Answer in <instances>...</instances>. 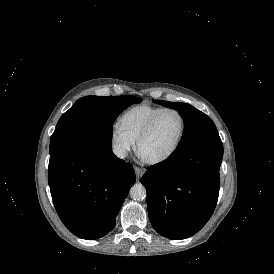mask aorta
I'll list each match as a JSON object with an SVG mask.
<instances>
[{"instance_id": "762f6f07", "label": "aorta", "mask_w": 274, "mask_h": 274, "mask_svg": "<svg viewBox=\"0 0 274 274\" xmlns=\"http://www.w3.org/2000/svg\"><path fill=\"white\" fill-rule=\"evenodd\" d=\"M146 193V188L141 183H135L130 189V196L134 200L145 199Z\"/></svg>"}]
</instances>
